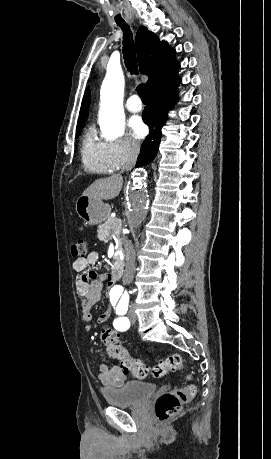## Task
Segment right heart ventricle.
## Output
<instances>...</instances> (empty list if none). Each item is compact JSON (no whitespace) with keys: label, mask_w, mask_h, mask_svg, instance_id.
<instances>
[{"label":"right heart ventricle","mask_w":271,"mask_h":459,"mask_svg":"<svg viewBox=\"0 0 271 459\" xmlns=\"http://www.w3.org/2000/svg\"><path fill=\"white\" fill-rule=\"evenodd\" d=\"M80 153L82 166L87 172L110 173L117 168L110 154V143L98 139L93 127L86 129Z\"/></svg>","instance_id":"1"}]
</instances>
